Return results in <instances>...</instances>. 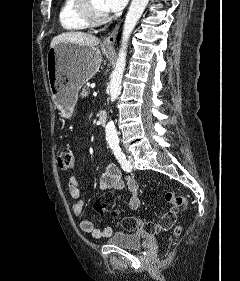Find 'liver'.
Listing matches in <instances>:
<instances>
[{
	"label": "liver",
	"mask_w": 240,
	"mask_h": 281,
	"mask_svg": "<svg viewBox=\"0 0 240 281\" xmlns=\"http://www.w3.org/2000/svg\"><path fill=\"white\" fill-rule=\"evenodd\" d=\"M61 42H70L74 44L95 47L99 45L100 39L89 33L71 31L55 36L51 41L50 47H54L56 44Z\"/></svg>",
	"instance_id": "obj_1"
}]
</instances>
